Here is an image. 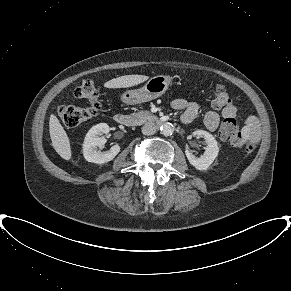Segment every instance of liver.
Listing matches in <instances>:
<instances>
[{"mask_svg":"<svg viewBox=\"0 0 291 291\" xmlns=\"http://www.w3.org/2000/svg\"><path fill=\"white\" fill-rule=\"evenodd\" d=\"M148 79L149 77L146 75H124L107 81L104 86L106 88H127L143 83ZM49 132L55 151L64 160H70L72 151L68 135L58 118L53 114L49 120Z\"/></svg>","mask_w":291,"mask_h":291,"instance_id":"obj_1","label":"liver"}]
</instances>
